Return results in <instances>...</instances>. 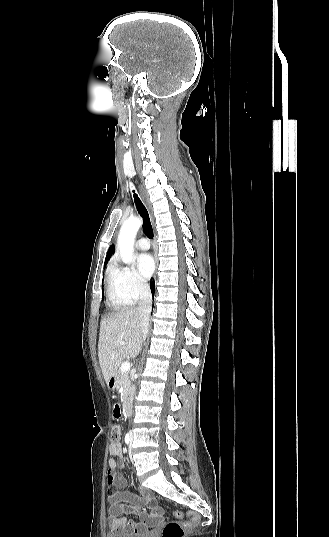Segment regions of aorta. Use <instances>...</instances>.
<instances>
[{"label": "aorta", "instance_id": "obj_1", "mask_svg": "<svg viewBox=\"0 0 329 537\" xmlns=\"http://www.w3.org/2000/svg\"><path fill=\"white\" fill-rule=\"evenodd\" d=\"M142 225V219L132 217L126 220L120 230L117 247L124 263L133 261V245L135 236Z\"/></svg>", "mask_w": 329, "mask_h": 537}]
</instances>
